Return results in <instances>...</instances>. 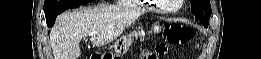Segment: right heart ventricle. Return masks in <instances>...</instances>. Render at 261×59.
Returning <instances> with one entry per match:
<instances>
[{"label":"right heart ventricle","mask_w":261,"mask_h":59,"mask_svg":"<svg viewBox=\"0 0 261 59\" xmlns=\"http://www.w3.org/2000/svg\"><path fill=\"white\" fill-rule=\"evenodd\" d=\"M131 1V0H130ZM145 9H148V10H153L155 9L154 7H145Z\"/></svg>","instance_id":"e07e8e85"}]
</instances>
